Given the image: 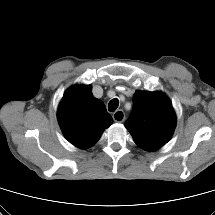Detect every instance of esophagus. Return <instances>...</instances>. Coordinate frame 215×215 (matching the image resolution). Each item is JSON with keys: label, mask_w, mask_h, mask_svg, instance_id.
<instances>
[{"label": "esophagus", "mask_w": 215, "mask_h": 215, "mask_svg": "<svg viewBox=\"0 0 215 215\" xmlns=\"http://www.w3.org/2000/svg\"><path fill=\"white\" fill-rule=\"evenodd\" d=\"M112 117L115 122H123L125 120V114L123 110H117Z\"/></svg>", "instance_id": "obj_1"}]
</instances>
